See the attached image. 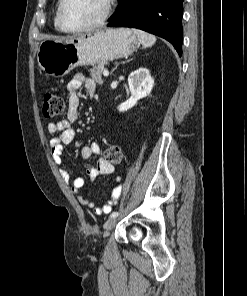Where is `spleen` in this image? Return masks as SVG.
<instances>
[{"mask_svg": "<svg viewBox=\"0 0 247 296\" xmlns=\"http://www.w3.org/2000/svg\"><path fill=\"white\" fill-rule=\"evenodd\" d=\"M131 31L137 36L138 40L145 48L152 47L156 42V37L152 34L139 29H132Z\"/></svg>", "mask_w": 247, "mask_h": 296, "instance_id": "1", "label": "spleen"}]
</instances>
